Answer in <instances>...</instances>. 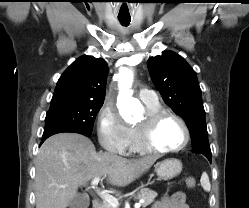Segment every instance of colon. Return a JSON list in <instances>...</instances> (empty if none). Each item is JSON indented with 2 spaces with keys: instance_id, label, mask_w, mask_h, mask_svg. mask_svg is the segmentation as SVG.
<instances>
[{
  "instance_id": "colon-1",
  "label": "colon",
  "mask_w": 249,
  "mask_h": 208,
  "mask_svg": "<svg viewBox=\"0 0 249 208\" xmlns=\"http://www.w3.org/2000/svg\"><path fill=\"white\" fill-rule=\"evenodd\" d=\"M185 182H186V186L189 189H192L196 186V180L193 177L187 178Z\"/></svg>"
}]
</instances>
